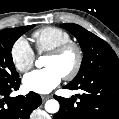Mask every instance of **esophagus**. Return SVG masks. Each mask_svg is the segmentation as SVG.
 <instances>
[{"label":"esophagus","instance_id":"esophagus-1","mask_svg":"<svg viewBox=\"0 0 119 119\" xmlns=\"http://www.w3.org/2000/svg\"><path fill=\"white\" fill-rule=\"evenodd\" d=\"M41 98L43 101H46L50 98V96L49 95H42Z\"/></svg>","mask_w":119,"mask_h":119}]
</instances>
